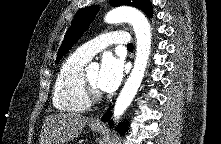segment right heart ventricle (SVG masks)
<instances>
[{
	"label": "right heart ventricle",
	"instance_id": "1",
	"mask_svg": "<svg viewBox=\"0 0 221 144\" xmlns=\"http://www.w3.org/2000/svg\"><path fill=\"white\" fill-rule=\"evenodd\" d=\"M87 60L71 54L60 66L53 88V105L62 112H83L90 107L82 75Z\"/></svg>",
	"mask_w": 221,
	"mask_h": 144
}]
</instances>
